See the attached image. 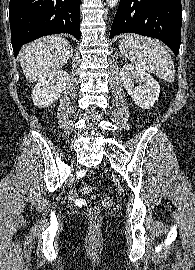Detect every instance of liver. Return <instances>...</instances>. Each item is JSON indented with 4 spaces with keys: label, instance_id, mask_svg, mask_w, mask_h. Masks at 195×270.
Segmentation results:
<instances>
[{
    "label": "liver",
    "instance_id": "6515ba94",
    "mask_svg": "<svg viewBox=\"0 0 195 270\" xmlns=\"http://www.w3.org/2000/svg\"><path fill=\"white\" fill-rule=\"evenodd\" d=\"M71 53L69 41L51 35L23 46L19 61L26 79L33 83L61 68Z\"/></svg>",
    "mask_w": 195,
    "mask_h": 270
}]
</instances>
